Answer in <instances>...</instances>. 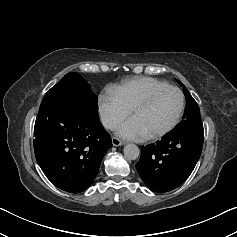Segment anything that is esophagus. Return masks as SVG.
I'll list each match as a JSON object with an SVG mask.
<instances>
[{
	"label": "esophagus",
	"instance_id": "34e87169",
	"mask_svg": "<svg viewBox=\"0 0 237 237\" xmlns=\"http://www.w3.org/2000/svg\"><path fill=\"white\" fill-rule=\"evenodd\" d=\"M112 144H113L114 146H121V145L124 144V142L121 141L120 139L116 138V137H113V138H112Z\"/></svg>",
	"mask_w": 237,
	"mask_h": 237
}]
</instances>
